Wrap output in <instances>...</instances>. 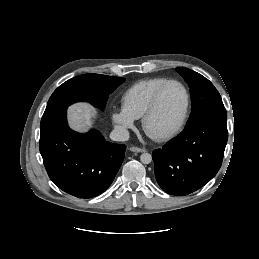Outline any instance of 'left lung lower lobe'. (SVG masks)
<instances>
[{"instance_id": "obj_1", "label": "left lung lower lobe", "mask_w": 259, "mask_h": 259, "mask_svg": "<svg viewBox=\"0 0 259 259\" xmlns=\"http://www.w3.org/2000/svg\"><path fill=\"white\" fill-rule=\"evenodd\" d=\"M227 139V117H207L187 126L162 149L153 151L160 187L177 196L203 187L220 169Z\"/></svg>"}]
</instances>
